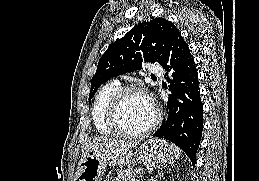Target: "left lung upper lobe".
Returning a JSON list of instances; mask_svg holds the SVG:
<instances>
[{"label":"left lung upper lobe","instance_id":"left-lung-upper-lobe-1","mask_svg":"<svg viewBox=\"0 0 259 181\" xmlns=\"http://www.w3.org/2000/svg\"><path fill=\"white\" fill-rule=\"evenodd\" d=\"M182 37L177 27L164 18L142 22L112 43L100 58L91 81L89 100L99 86L112 77L142 68L144 62L164 65L172 46Z\"/></svg>","mask_w":259,"mask_h":181}]
</instances>
